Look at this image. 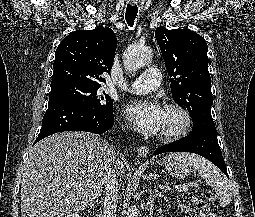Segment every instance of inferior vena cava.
I'll list each match as a JSON object with an SVG mask.
<instances>
[{"label":"inferior vena cava","instance_id":"602c4592","mask_svg":"<svg viewBox=\"0 0 255 217\" xmlns=\"http://www.w3.org/2000/svg\"><path fill=\"white\" fill-rule=\"evenodd\" d=\"M113 152V149H112ZM118 203V182L115 171L109 169L105 178V198L103 217H116Z\"/></svg>","mask_w":255,"mask_h":217}]
</instances>
